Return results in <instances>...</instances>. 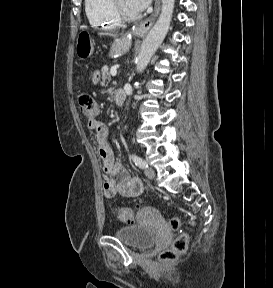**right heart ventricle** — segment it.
Listing matches in <instances>:
<instances>
[{
  "label": "right heart ventricle",
  "instance_id": "obj_1",
  "mask_svg": "<svg viewBox=\"0 0 273 288\" xmlns=\"http://www.w3.org/2000/svg\"><path fill=\"white\" fill-rule=\"evenodd\" d=\"M85 11L92 27L112 30L121 25L115 16L111 0H85Z\"/></svg>",
  "mask_w": 273,
  "mask_h": 288
}]
</instances>
